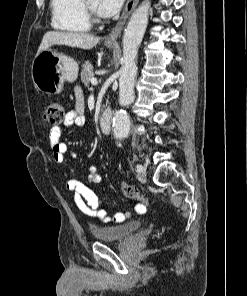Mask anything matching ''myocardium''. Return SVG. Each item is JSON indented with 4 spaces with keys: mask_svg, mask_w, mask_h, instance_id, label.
I'll return each instance as SVG.
<instances>
[{
    "mask_svg": "<svg viewBox=\"0 0 247 296\" xmlns=\"http://www.w3.org/2000/svg\"><path fill=\"white\" fill-rule=\"evenodd\" d=\"M83 7L90 22H100V16L96 9L90 6L88 0H83Z\"/></svg>",
    "mask_w": 247,
    "mask_h": 296,
    "instance_id": "1",
    "label": "myocardium"
}]
</instances>
